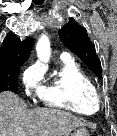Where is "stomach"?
<instances>
[{"instance_id":"1","label":"stomach","mask_w":117,"mask_h":136,"mask_svg":"<svg viewBox=\"0 0 117 136\" xmlns=\"http://www.w3.org/2000/svg\"><path fill=\"white\" fill-rule=\"evenodd\" d=\"M71 136H90V135L87 129H85L84 127H79L75 129L73 133H71Z\"/></svg>"}]
</instances>
